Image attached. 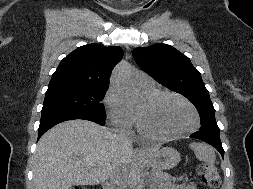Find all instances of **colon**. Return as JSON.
Listing matches in <instances>:
<instances>
[{
  "label": "colon",
  "instance_id": "1",
  "mask_svg": "<svg viewBox=\"0 0 253 189\" xmlns=\"http://www.w3.org/2000/svg\"><path fill=\"white\" fill-rule=\"evenodd\" d=\"M197 172L202 182L208 189H217L220 185V175L218 170L211 164L199 163ZM73 189H84L82 186H75Z\"/></svg>",
  "mask_w": 253,
  "mask_h": 189
}]
</instances>
